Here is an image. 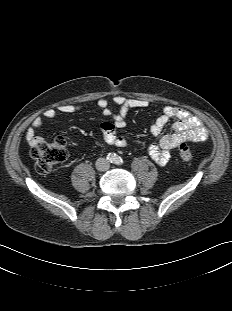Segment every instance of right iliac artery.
<instances>
[{
	"label": "right iliac artery",
	"mask_w": 232,
	"mask_h": 311,
	"mask_svg": "<svg viewBox=\"0 0 232 311\" xmlns=\"http://www.w3.org/2000/svg\"><path fill=\"white\" fill-rule=\"evenodd\" d=\"M108 159L112 162L115 160V157L113 155H109Z\"/></svg>",
	"instance_id": "obj_1"
}]
</instances>
